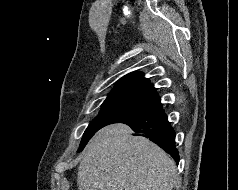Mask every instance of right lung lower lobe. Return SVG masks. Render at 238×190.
<instances>
[{"label": "right lung lower lobe", "instance_id": "1", "mask_svg": "<svg viewBox=\"0 0 238 190\" xmlns=\"http://www.w3.org/2000/svg\"><path fill=\"white\" fill-rule=\"evenodd\" d=\"M123 123L130 126L134 132L145 134L152 142L170 154L177 163L179 162V154L175 147V131L171 127L161 103Z\"/></svg>", "mask_w": 238, "mask_h": 190}]
</instances>
